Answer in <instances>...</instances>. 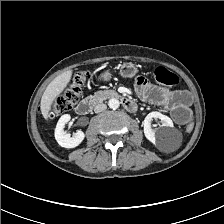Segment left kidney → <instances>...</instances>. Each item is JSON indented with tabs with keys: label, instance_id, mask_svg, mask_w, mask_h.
I'll list each match as a JSON object with an SVG mask.
<instances>
[{
	"label": "left kidney",
	"instance_id": "1",
	"mask_svg": "<svg viewBox=\"0 0 224 224\" xmlns=\"http://www.w3.org/2000/svg\"><path fill=\"white\" fill-rule=\"evenodd\" d=\"M153 118L161 120L160 128H151V121L153 120ZM143 126L144 135L151 143L165 145L169 142L168 136L170 132L168 128L173 127V122L168 116L156 111L151 112L145 117Z\"/></svg>",
	"mask_w": 224,
	"mask_h": 224
}]
</instances>
